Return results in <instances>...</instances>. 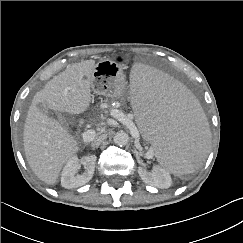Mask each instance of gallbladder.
<instances>
[{
    "mask_svg": "<svg viewBox=\"0 0 243 243\" xmlns=\"http://www.w3.org/2000/svg\"><path fill=\"white\" fill-rule=\"evenodd\" d=\"M38 108L40 111H42L43 113L47 114L48 117H50L51 119H58L60 121V123L62 124L63 127L68 128V122L66 121V118L63 114L59 113L58 110H56L55 108H47L46 105L44 104H39Z\"/></svg>",
    "mask_w": 243,
    "mask_h": 243,
    "instance_id": "obj_1",
    "label": "gallbladder"
}]
</instances>
